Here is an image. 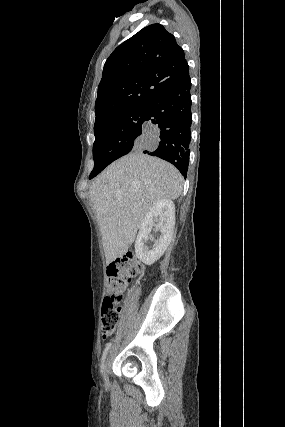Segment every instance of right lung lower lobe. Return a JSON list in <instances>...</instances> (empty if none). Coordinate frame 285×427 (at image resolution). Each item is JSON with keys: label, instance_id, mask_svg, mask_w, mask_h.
<instances>
[{"label": "right lung lower lobe", "instance_id": "obj_1", "mask_svg": "<svg viewBox=\"0 0 285 427\" xmlns=\"http://www.w3.org/2000/svg\"><path fill=\"white\" fill-rule=\"evenodd\" d=\"M191 79L159 94L147 104L143 139L136 148L173 164L186 178L191 141Z\"/></svg>", "mask_w": 285, "mask_h": 427}]
</instances>
